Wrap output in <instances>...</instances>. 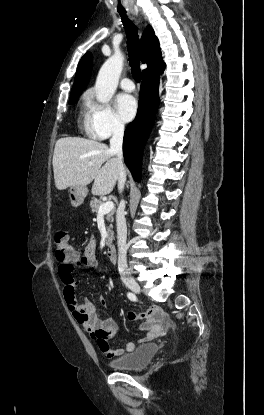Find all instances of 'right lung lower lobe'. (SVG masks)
Here are the masks:
<instances>
[{
  "instance_id": "98d812e1",
  "label": "right lung lower lobe",
  "mask_w": 264,
  "mask_h": 415,
  "mask_svg": "<svg viewBox=\"0 0 264 415\" xmlns=\"http://www.w3.org/2000/svg\"><path fill=\"white\" fill-rule=\"evenodd\" d=\"M159 74L142 77L135 120L128 124L123 138L124 160L135 181L141 175L143 148L149 137L159 102Z\"/></svg>"
}]
</instances>
